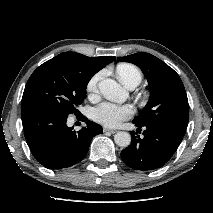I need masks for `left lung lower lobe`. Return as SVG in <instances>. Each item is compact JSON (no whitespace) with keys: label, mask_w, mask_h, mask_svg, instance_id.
<instances>
[{"label":"left lung lower lobe","mask_w":213,"mask_h":213,"mask_svg":"<svg viewBox=\"0 0 213 213\" xmlns=\"http://www.w3.org/2000/svg\"><path fill=\"white\" fill-rule=\"evenodd\" d=\"M143 131L140 137L134 131L131 132V144L121 152L123 162L132 169L152 170L162 167L174 154L181 143L186 129L172 124L140 125L133 122Z\"/></svg>","instance_id":"1"}]
</instances>
